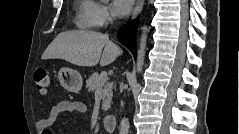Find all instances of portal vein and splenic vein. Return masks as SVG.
<instances>
[{
    "label": "portal vein and splenic vein",
    "mask_w": 239,
    "mask_h": 134,
    "mask_svg": "<svg viewBox=\"0 0 239 134\" xmlns=\"http://www.w3.org/2000/svg\"><path fill=\"white\" fill-rule=\"evenodd\" d=\"M107 80V73L106 72H101L100 74V82L104 83ZM101 86V84L99 85V87Z\"/></svg>",
    "instance_id": "18ae733b"
}]
</instances>
